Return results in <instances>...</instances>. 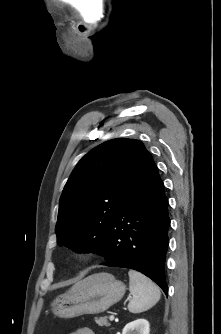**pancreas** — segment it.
<instances>
[{
	"label": "pancreas",
	"instance_id": "cf45deb5",
	"mask_svg": "<svg viewBox=\"0 0 221 334\" xmlns=\"http://www.w3.org/2000/svg\"><path fill=\"white\" fill-rule=\"evenodd\" d=\"M95 322L99 325V326H106L109 327L110 323L107 320V317H95Z\"/></svg>",
	"mask_w": 221,
	"mask_h": 334
}]
</instances>
